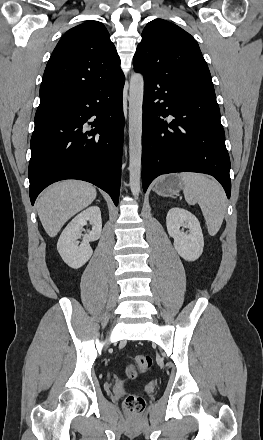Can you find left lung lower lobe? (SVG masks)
<instances>
[{
    "mask_svg": "<svg viewBox=\"0 0 263 440\" xmlns=\"http://www.w3.org/2000/svg\"><path fill=\"white\" fill-rule=\"evenodd\" d=\"M144 75L142 184L159 175L199 172L214 176L230 198V159L215 94L190 88L173 77ZM172 115L174 119L167 122Z\"/></svg>",
    "mask_w": 263,
    "mask_h": 440,
    "instance_id": "left-lung-lower-lobe-1",
    "label": "left lung lower lobe"
}]
</instances>
